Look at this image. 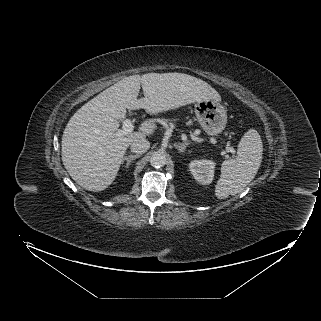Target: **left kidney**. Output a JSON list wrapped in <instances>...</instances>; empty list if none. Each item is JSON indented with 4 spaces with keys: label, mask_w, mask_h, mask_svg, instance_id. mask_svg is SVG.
Instances as JSON below:
<instances>
[{
    "label": "left kidney",
    "mask_w": 321,
    "mask_h": 321,
    "mask_svg": "<svg viewBox=\"0 0 321 321\" xmlns=\"http://www.w3.org/2000/svg\"><path fill=\"white\" fill-rule=\"evenodd\" d=\"M194 179L202 184H210L214 178L215 162L212 160H194L189 164Z\"/></svg>",
    "instance_id": "left-kidney-1"
}]
</instances>
